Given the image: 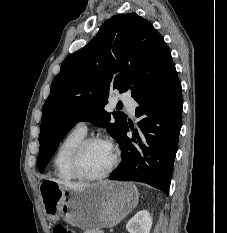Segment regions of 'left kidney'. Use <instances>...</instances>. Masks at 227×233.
<instances>
[{"instance_id": "5707ae66", "label": "left kidney", "mask_w": 227, "mask_h": 233, "mask_svg": "<svg viewBox=\"0 0 227 233\" xmlns=\"http://www.w3.org/2000/svg\"><path fill=\"white\" fill-rule=\"evenodd\" d=\"M152 217L147 210L139 211L126 224L129 233H150Z\"/></svg>"}]
</instances>
